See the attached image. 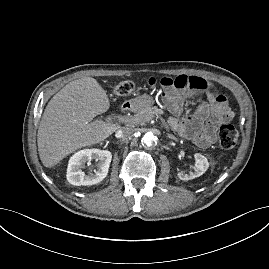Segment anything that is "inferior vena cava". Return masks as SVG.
Wrapping results in <instances>:
<instances>
[{
	"label": "inferior vena cava",
	"mask_w": 269,
	"mask_h": 269,
	"mask_svg": "<svg viewBox=\"0 0 269 269\" xmlns=\"http://www.w3.org/2000/svg\"><path fill=\"white\" fill-rule=\"evenodd\" d=\"M134 130L130 127H123L122 129L117 131V137L122 138V137H128L132 135Z\"/></svg>",
	"instance_id": "inferior-vena-cava-1"
}]
</instances>
